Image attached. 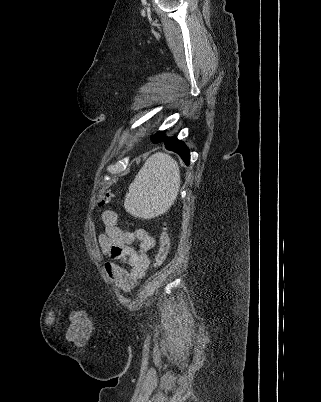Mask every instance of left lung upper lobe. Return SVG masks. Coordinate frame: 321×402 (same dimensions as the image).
<instances>
[{
  "mask_svg": "<svg viewBox=\"0 0 321 402\" xmlns=\"http://www.w3.org/2000/svg\"><path fill=\"white\" fill-rule=\"evenodd\" d=\"M157 137V133L151 137L152 141H154Z\"/></svg>",
  "mask_w": 321,
  "mask_h": 402,
  "instance_id": "1",
  "label": "left lung upper lobe"
}]
</instances>
